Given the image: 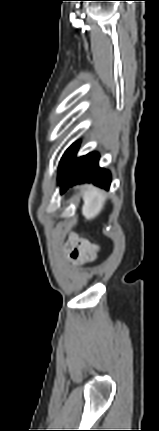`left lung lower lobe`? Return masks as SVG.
I'll use <instances>...</instances> for the list:
<instances>
[{
	"mask_svg": "<svg viewBox=\"0 0 159 431\" xmlns=\"http://www.w3.org/2000/svg\"><path fill=\"white\" fill-rule=\"evenodd\" d=\"M79 144L80 142H76L70 147L59 171L61 193L70 186L84 182H92L101 188L109 189L111 176L109 171L98 166L99 154L93 152L76 158Z\"/></svg>",
	"mask_w": 159,
	"mask_h": 431,
	"instance_id": "0a47b994",
	"label": "left lung lower lobe"
}]
</instances>
